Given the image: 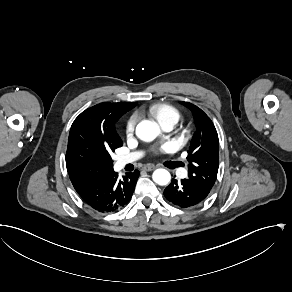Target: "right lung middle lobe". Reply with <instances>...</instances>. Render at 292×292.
Instances as JSON below:
<instances>
[{
  "instance_id": "1",
  "label": "right lung middle lobe",
  "mask_w": 292,
  "mask_h": 292,
  "mask_svg": "<svg viewBox=\"0 0 292 292\" xmlns=\"http://www.w3.org/2000/svg\"><path fill=\"white\" fill-rule=\"evenodd\" d=\"M74 122L68 138L67 170L98 173L112 169L111 153L123 145L120 137L103 136Z\"/></svg>"
}]
</instances>
